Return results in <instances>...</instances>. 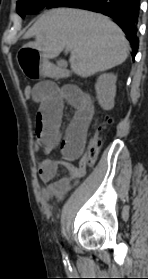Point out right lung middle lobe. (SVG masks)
I'll use <instances>...</instances> for the list:
<instances>
[{"instance_id": "right-lung-middle-lobe-1", "label": "right lung middle lobe", "mask_w": 148, "mask_h": 279, "mask_svg": "<svg viewBox=\"0 0 148 279\" xmlns=\"http://www.w3.org/2000/svg\"><path fill=\"white\" fill-rule=\"evenodd\" d=\"M52 1L53 0H19L17 2V12L24 18L26 14H34Z\"/></svg>"}]
</instances>
